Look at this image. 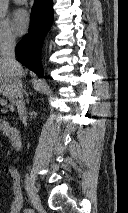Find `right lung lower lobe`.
Returning a JSON list of instances; mask_svg holds the SVG:
<instances>
[{"mask_svg": "<svg viewBox=\"0 0 128 213\" xmlns=\"http://www.w3.org/2000/svg\"><path fill=\"white\" fill-rule=\"evenodd\" d=\"M28 34L17 44L16 56L30 70L43 76L39 52L53 20V0H35Z\"/></svg>", "mask_w": 128, "mask_h": 213, "instance_id": "98d812e1", "label": "right lung lower lobe"}]
</instances>
